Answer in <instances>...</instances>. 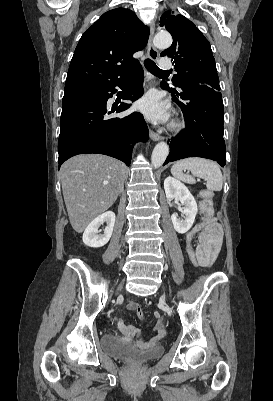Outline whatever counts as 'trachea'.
Masks as SVG:
<instances>
[{"label": "trachea", "mask_w": 273, "mask_h": 401, "mask_svg": "<svg viewBox=\"0 0 273 401\" xmlns=\"http://www.w3.org/2000/svg\"><path fill=\"white\" fill-rule=\"evenodd\" d=\"M144 65H145L146 69H147L150 73H153V75H157V74H160V73H165V72H167V70H161V68H158L157 65H156V63H154L153 60H150V58H147V59L144 61Z\"/></svg>", "instance_id": "obj_1"}]
</instances>
